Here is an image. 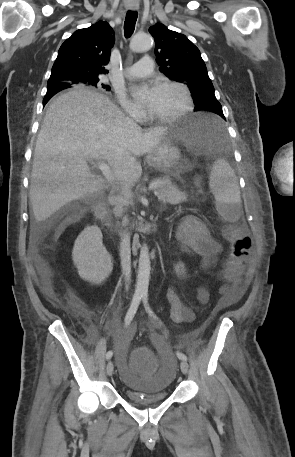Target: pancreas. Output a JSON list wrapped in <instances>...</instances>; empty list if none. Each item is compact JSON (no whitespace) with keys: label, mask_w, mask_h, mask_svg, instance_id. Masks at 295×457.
<instances>
[{"label":"pancreas","mask_w":295,"mask_h":457,"mask_svg":"<svg viewBox=\"0 0 295 457\" xmlns=\"http://www.w3.org/2000/svg\"><path fill=\"white\" fill-rule=\"evenodd\" d=\"M154 182H160L156 195L164 204H178L187 200V194L175 187L169 178L156 179Z\"/></svg>","instance_id":"cf45deb5"}]
</instances>
